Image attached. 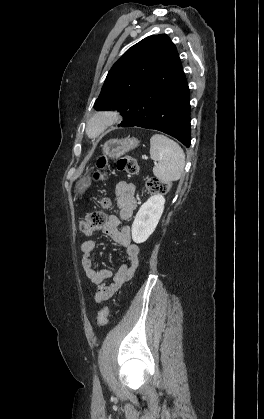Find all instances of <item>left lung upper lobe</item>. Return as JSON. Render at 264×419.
Returning a JSON list of instances; mask_svg holds the SVG:
<instances>
[{
  "label": "left lung upper lobe",
  "mask_w": 264,
  "mask_h": 419,
  "mask_svg": "<svg viewBox=\"0 0 264 419\" xmlns=\"http://www.w3.org/2000/svg\"><path fill=\"white\" fill-rule=\"evenodd\" d=\"M179 66L177 49L166 34L146 37L112 66L94 108L117 109L123 115L145 93L175 76Z\"/></svg>",
  "instance_id": "obj_1"
}]
</instances>
